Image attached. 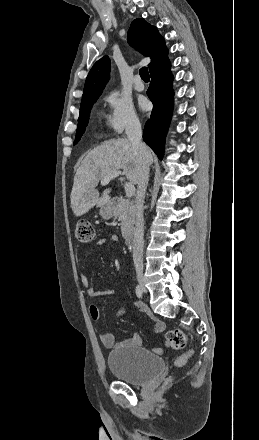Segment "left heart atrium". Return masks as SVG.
<instances>
[{
	"instance_id": "1",
	"label": "left heart atrium",
	"mask_w": 259,
	"mask_h": 440,
	"mask_svg": "<svg viewBox=\"0 0 259 440\" xmlns=\"http://www.w3.org/2000/svg\"><path fill=\"white\" fill-rule=\"evenodd\" d=\"M139 105L143 110H146L149 107V104L145 99H141Z\"/></svg>"
}]
</instances>
